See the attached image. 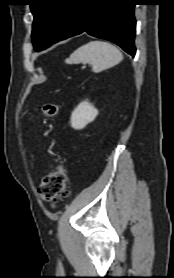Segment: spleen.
I'll list each match as a JSON object with an SVG mask.
<instances>
[{"mask_svg": "<svg viewBox=\"0 0 174 278\" xmlns=\"http://www.w3.org/2000/svg\"><path fill=\"white\" fill-rule=\"evenodd\" d=\"M122 59V53L114 45L104 41H90L76 49L67 63H89L92 65V71L99 73L117 65Z\"/></svg>", "mask_w": 174, "mask_h": 278, "instance_id": "3e777b00", "label": "spleen"}]
</instances>
